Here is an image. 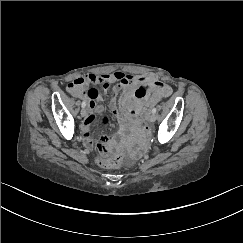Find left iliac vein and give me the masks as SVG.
Returning a JSON list of instances; mask_svg holds the SVG:
<instances>
[{
  "mask_svg": "<svg viewBox=\"0 0 243 243\" xmlns=\"http://www.w3.org/2000/svg\"><path fill=\"white\" fill-rule=\"evenodd\" d=\"M156 120V115L155 114H151L149 117V121L150 122H154Z\"/></svg>",
  "mask_w": 243,
  "mask_h": 243,
  "instance_id": "obj_1",
  "label": "left iliac vein"
}]
</instances>
